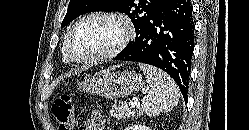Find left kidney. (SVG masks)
I'll return each mask as SVG.
<instances>
[{"instance_id": "left-kidney-1", "label": "left kidney", "mask_w": 249, "mask_h": 130, "mask_svg": "<svg viewBox=\"0 0 249 130\" xmlns=\"http://www.w3.org/2000/svg\"><path fill=\"white\" fill-rule=\"evenodd\" d=\"M125 130H150V128L145 125L136 124V125L128 126L127 128H125Z\"/></svg>"}]
</instances>
